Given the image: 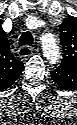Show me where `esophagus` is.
Returning a JSON list of instances; mask_svg holds the SVG:
<instances>
[{
	"label": "esophagus",
	"instance_id": "obj_1",
	"mask_svg": "<svg viewBox=\"0 0 77 125\" xmlns=\"http://www.w3.org/2000/svg\"><path fill=\"white\" fill-rule=\"evenodd\" d=\"M34 48L30 45H24L18 50L20 57H28L33 54Z\"/></svg>",
	"mask_w": 77,
	"mask_h": 125
}]
</instances>
